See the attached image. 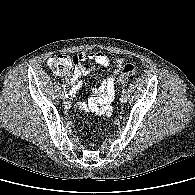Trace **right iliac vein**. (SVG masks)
Instances as JSON below:
<instances>
[{
	"instance_id": "63e3f726",
	"label": "right iliac vein",
	"mask_w": 195,
	"mask_h": 195,
	"mask_svg": "<svg viewBox=\"0 0 195 195\" xmlns=\"http://www.w3.org/2000/svg\"><path fill=\"white\" fill-rule=\"evenodd\" d=\"M61 96L64 101H67L69 99V94L67 93V91H63Z\"/></svg>"
}]
</instances>
